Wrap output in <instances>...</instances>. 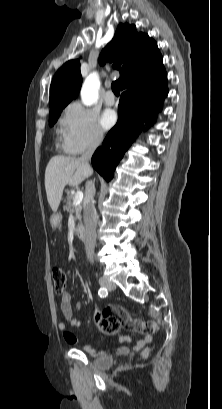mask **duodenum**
Returning a JSON list of instances; mask_svg holds the SVG:
<instances>
[{
  "mask_svg": "<svg viewBox=\"0 0 222 409\" xmlns=\"http://www.w3.org/2000/svg\"><path fill=\"white\" fill-rule=\"evenodd\" d=\"M76 234L81 241L86 240L85 230L81 225L76 226Z\"/></svg>",
  "mask_w": 222,
  "mask_h": 409,
  "instance_id": "obj_1",
  "label": "duodenum"
}]
</instances>
